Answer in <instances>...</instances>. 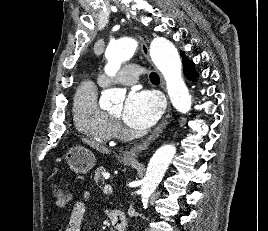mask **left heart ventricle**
I'll use <instances>...</instances> for the list:
<instances>
[{"label": "left heart ventricle", "instance_id": "obj_1", "mask_svg": "<svg viewBox=\"0 0 268 231\" xmlns=\"http://www.w3.org/2000/svg\"><path fill=\"white\" fill-rule=\"evenodd\" d=\"M122 112V104H118L110 110V113L115 116H120Z\"/></svg>", "mask_w": 268, "mask_h": 231}]
</instances>
